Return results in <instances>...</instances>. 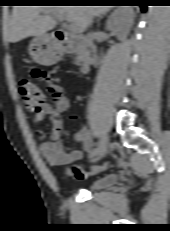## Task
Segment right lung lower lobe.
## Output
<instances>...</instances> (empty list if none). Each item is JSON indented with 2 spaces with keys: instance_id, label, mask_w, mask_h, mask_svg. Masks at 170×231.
I'll use <instances>...</instances> for the list:
<instances>
[{
  "instance_id": "1",
  "label": "right lung lower lobe",
  "mask_w": 170,
  "mask_h": 231,
  "mask_svg": "<svg viewBox=\"0 0 170 231\" xmlns=\"http://www.w3.org/2000/svg\"><path fill=\"white\" fill-rule=\"evenodd\" d=\"M139 6L141 7L142 11H144V12L146 11V6L145 5L141 4Z\"/></svg>"
}]
</instances>
